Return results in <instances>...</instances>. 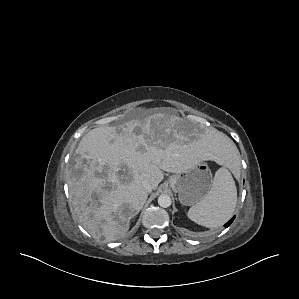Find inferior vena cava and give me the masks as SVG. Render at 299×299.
<instances>
[{
	"instance_id": "obj_1",
	"label": "inferior vena cava",
	"mask_w": 299,
	"mask_h": 299,
	"mask_svg": "<svg viewBox=\"0 0 299 299\" xmlns=\"http://www.w3.org/2000/svg\"><path fill=\"white\" fill-rule=\"evenodd\" d=\"M143 188L146 192L150 193L152 191V186L148 180L142 182Z\"/></svg>"
}]
</instances>
